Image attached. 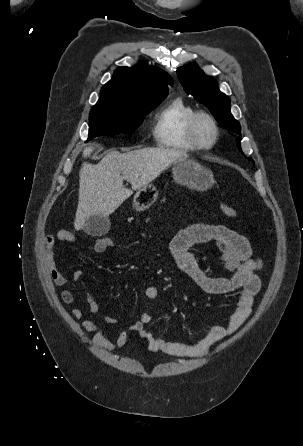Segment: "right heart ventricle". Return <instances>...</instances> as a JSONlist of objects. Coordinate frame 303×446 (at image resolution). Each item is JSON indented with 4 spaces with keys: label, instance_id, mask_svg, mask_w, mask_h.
<instances>
[{
    "label": "right heart ventricle",
    "instance_id": "right-heart-ventricle-1",
    "mask_svg": "<svg viewBox=\"0 0 303 446\" xmlns=\"http://www.w3.org/2000/svg\"><path fill=\"white\" fill-rule=\"evenodd\" d=\"M194 112V107L182 97H176L165 104L154 121L152 133L156 145L179 151L196 150L186 133L188 120Z\"/></svg>",
    "mask_w": 303,
    "mask_h": 446
}]
</instances>
